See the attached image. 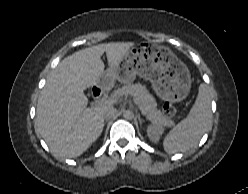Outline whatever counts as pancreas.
<instances>
[{
  "label": "pancreas",
  "mask_w": 248,
  "mask_h": 194,
  "mask_svg": "<svg viewBox=\"0 0 248 194\" xmlns=\"http://www.w3.org/2000/svg\"><path fill=\"white\" fill-rule=\"evenodd\" d=\"M133 96L138 102V106L142 113L147 117L148 120L155 124L172 126L173 121L167 118L157 109V104L154 97L149 93L146 87L140 83L138 84H127L115 91L116 97L120 96Z\"/></svg>",
  "instance_id": "1"
}]
</instances>
